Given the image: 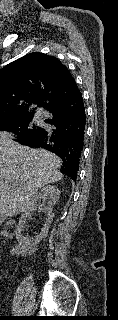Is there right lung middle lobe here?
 Wrapping results in <instances>:
<instances>
[{"label":"right lung middle lobe","mask_w":118,"mask_h":320,"mask_svg":"<svg viewBox=\"0 0 118 320\" xmlns=\"http://www.w3.org/2000/svg\"><path fill=\"white\" fill-rule=\"evenodd\" d=\"M33 117H7L0 119V131L12 132L16 138H22L34 135L40 130V127L32 124Z\"/></svg>","instance_id":"right-lung-middle-lobe-1"}]
</instances>
